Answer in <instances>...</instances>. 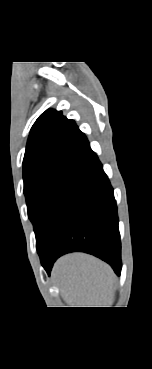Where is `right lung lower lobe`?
<instances>
[{
    "mask_svg": "<svg viewBox=\"0 0 152 369\" xmlns=\"http://www.w3.org/2000/svg\"><path fill=\"white\" fill-rule=\"evenodd\" d=\"M50 274L63 254H92L121 272V242L113 188L92 152L78 167L58 199L45 235L37 246Z\"/></svg>",
    "mask_w": 152,
    "mask_h": 369,
    "instance_id": "right-lung-lower-lobe-1",
    "label": "right lung lower lobe"
}]
</instances>
